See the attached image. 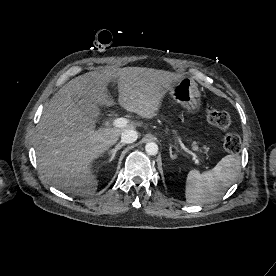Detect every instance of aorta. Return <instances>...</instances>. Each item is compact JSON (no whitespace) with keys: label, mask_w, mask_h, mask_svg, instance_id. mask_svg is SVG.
Returning a JSON list of instances; mask_svg holds the SVG:
<instances>
[{"label":"aorta","mask_w":276,"mask_h":276,"mask_svg":"<svg viewBox=\"0 0 276 276\" xmlns=\"http://www.w3.org/2000/svg\"><path fill=\"white\" fill-rule=\"evenodd\" d=\"M145 151L148 155H156L158 153V146L154 142H149L145 145Z\"/></svg>","instance_id":"1"}]
</instances>
